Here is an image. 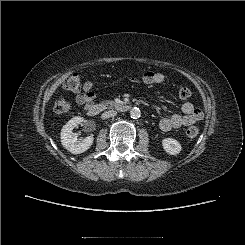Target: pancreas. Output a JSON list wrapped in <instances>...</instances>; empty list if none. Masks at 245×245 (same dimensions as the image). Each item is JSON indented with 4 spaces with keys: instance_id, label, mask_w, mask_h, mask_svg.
Instances as JSON below:
<instances>
[{
    "instance_id": "1",
    "label": "pancreas",
    "mask_w": 245,
    "mask_h": 245,
    "mask_svg": "<svg viewBox=\"0 0 245 245\" xmlns=\"http://www.w3.org/2000/svg\"><path fill=\"white\" fill-rule=\"evenodd\" d=\"M101 104L104 106V107H109V108H113L116 104L115 102L113 101H109V100H103L101 102Z\"/></svg>"
}]
</instances>
